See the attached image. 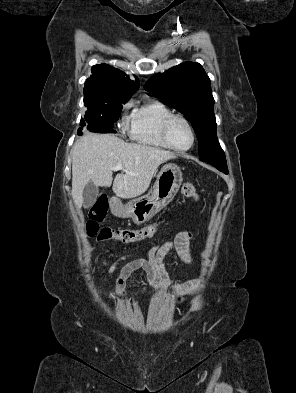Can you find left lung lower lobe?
<instances>
[{
  "mask_svg": "<svg viewBox=\"0 0 296 393\" xmlns=\"http://www.w3.org/2000/svg\"><path fill=\"white\" fill-rule=\"evenodd\" d=\"M215 167H216V166H215ZM217 168H218L220 171H222V172L228 174V168H227V167L217 166Z\"/></svg>",
  "mask_w": 296,
  "mask_h": 393,
  "instance_id": "obj_1",
  "label": "left lung lower lobe"
}]
</instances>
